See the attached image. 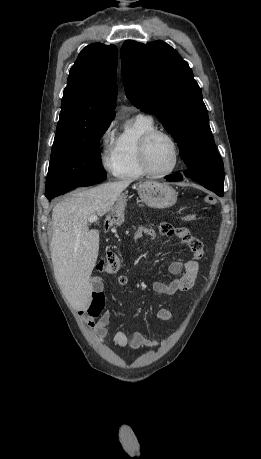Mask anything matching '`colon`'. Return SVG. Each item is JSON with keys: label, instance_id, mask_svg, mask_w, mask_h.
<instances>
[{"label": "colon", "instance_id": "obj_1", "mask_svg": "<svg viewBox=\"0 0 261 459\" xmlns=\"http://www.w3.org/2000/svg\"><path fill=\"white\" fill-rule=\"evenodd\" d=\"M204 202L207 205H213L216 202V198L212 195H206ZM196 213H188L185 215L187 219H194ZM159 231L162 234H169L171 232V227L166 223L159 224ZM121 268V260L115 253H109L104 258H102L96 265V269L101 273L114 274L118 272ZM104 295L103 294H93L92 302L87 308L86 313L91 317H98L104 307Z\"/></svg>", "mask_w": 261, "mask_h": 459}]
</instances>
